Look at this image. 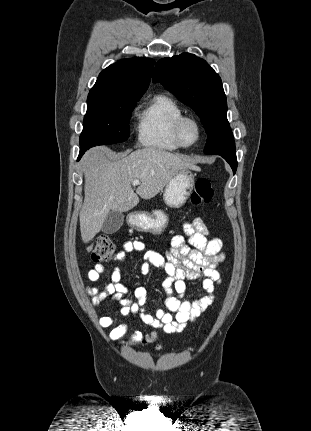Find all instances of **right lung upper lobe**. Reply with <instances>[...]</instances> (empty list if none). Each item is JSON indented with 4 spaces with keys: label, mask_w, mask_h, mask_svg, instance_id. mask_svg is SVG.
<instances>
[{
    "label": "right lung upper lobe",
    "mask_w": 311,
    "mask_h": 431,
    "mask_svg": "<svg viewBox=\"0 0 311 431\" xmlns=\"http://www.w3.org/2000/svg\"><path fill=\"white\" fill-rule=\"evenodd\" d=\"M154 60L135 57L104 69L89 94L142 96L147 90Z\"/></svg>",
    "instance_id": "obj_1"
}]
</instances>
